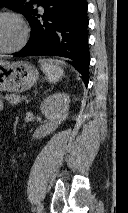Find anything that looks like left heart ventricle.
I'll use <instances>...</instances> for the list:
<instances>
[{
	"label": "left heart ventricle",
	"instance_id": "obj_1",
	"mask_svg": "<svg viewBox=\"0 0 128 213\" xmlns=\"http://www.w3.org/2000/svg\"><path fill=\"white\" fill-rule=\"evenodd\" d=\"M21 34V27L15 19L0 16V50L16 45L21 38Z\"/></svg>",
	"mask_w": 128,
	"mask_h": 213
}]
</instances>
